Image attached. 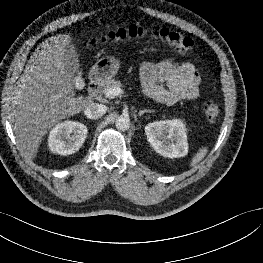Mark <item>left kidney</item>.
<instances>
[{"instance_id":"left-kidney-1","label":"left kidney","mask_w":263,"mask_h":263,"mask_svg":"<svg viewBox=\"0 0 263 263\" xmlns=\"http://www.w3.org/2000/svg\"><path fill=\"white\" fill-rule=\"evenodd\" d=\"M145 134L154 150L164 157L179 158L188 153L186 128L179 119L149 123Z\"/></svg>"}]
</instances>
